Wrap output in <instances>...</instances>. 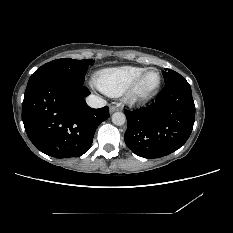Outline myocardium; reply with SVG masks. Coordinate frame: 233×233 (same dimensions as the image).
I'll use <instances>...</instances> for the list:
<instances>
[{
	"label": "myocardium",
	"instance_id": "obj_1",
	"mask_svg": "<svg viewBox=\"0 0 233 233\" xmlns=\"http://www.w3.org/2000/svg\"><path fill=\"white\" fill-rule=\"evenodd\" d=\"M152 70L157 72L158 82H157L156 86L150 92H148L146 94H141L139 92V86H140L143 78L145 77V75ZM160 85H161V75H160L158 69L153 68V67L147 68L142 73H140L133 80V82L129 85V87L126 89V91L124 92V99L129 104L146 102L156 95V93L158 92V90L160 88Z\"/></svg>",
	"mask_w": 233,
	"mask_h": 233
}]
</instances>
